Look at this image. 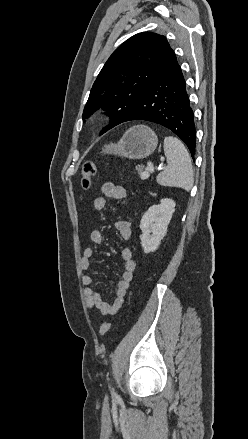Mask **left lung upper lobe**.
<instances>
[{"instance_id":"left-lung-upper-lobe-1","label":"left lung upper lobe","mask_w":248,"mask_h":439,"mask_svg":"<svg viewBox=\"0 0 248 439\" xmlns=\"http://www.w3.org/2000/svg\"><path fill=\"white\" fill-rule=\"evenodd\" d=\"M173 54L162 35L143 32L129 38L112 53L100 71L82 118L99 108L109 111L111 124L100 135L120 124Z\"/></svg>"}]
</instances>
